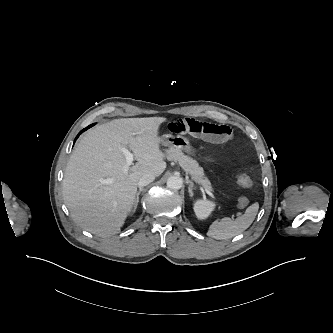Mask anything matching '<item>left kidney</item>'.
<instances>
[{"mask_svg": "<svg viewBox=\"0 0 333 333\" xmlns=\"http://www.w3.org/2000/svg\"><path fill=\"white\" fill-rule=\"evenodd\" d=\"M214 207L215 203L212 201L197 200L194 203V212L199 219L205 220L214 210Z\"/></svg>", "mask_w": 333, "mask_h": 333, "instance_id": "1", "label": "left kidney"}]
</instances>
